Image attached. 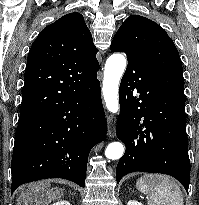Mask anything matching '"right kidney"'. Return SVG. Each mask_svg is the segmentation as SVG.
Here are the masks:
<instances>
[{"label": "right kidney", "mask_w": 199, "mask_h": 205, "mask_svg": "<svg viewBox=\"0 0 199 205\" xmlns=\"http://www.w3.org/2000/svg\"><path fill=\"white\" fill-rule=\"evenodd\" d=\"M52 205H71L68 201H59V202H56Z\"/></svg>", "instance_id": "ca27d5eb"}]
</instances>
